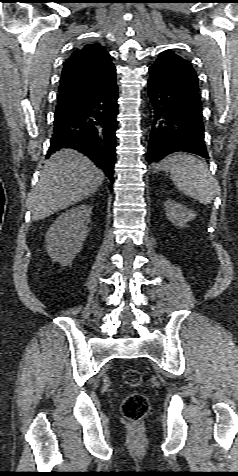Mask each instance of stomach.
<instances>
[{"instance_id":"stomach-1","label":"stomach","mask_w":238,"mask_h":476,"mask_svg":"<svg viewBox=\"0 0 238 476\" xmlns=\"http://www.w3.org/2000/svg\"><path fill=\"white\" fill-rule=\"evenodd\" d=\"M156 169H157V170H160V167H159V166H156Z\"/></svg>"}]
</instances>
